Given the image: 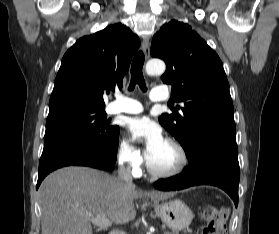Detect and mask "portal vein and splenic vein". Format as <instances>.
<instances>
[{"instance_id": "18ae733b", "label": "portal vein and splenic vein", "mask_w": 279, "mask_h": 234, "mask_svg": "<svg viewBox=\"0 0 279 234\" xmlns=\"http://www.w3.org/2000/svg\"><path fill=\"white\" fill-rule=\"evenodd\" d=\"M86 217L93 224H95L99 227H107V226L111 225V222L104 215H99V216L86 215Z\"/></svg>"}]
</instances>
